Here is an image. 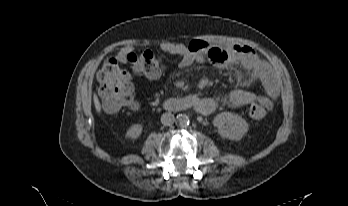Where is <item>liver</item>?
Segmentation results:
<instances>
[{
  "mask_svg": "<svg viewBox=\"0 0 348 206\" xmlns=\"http://www.w3.org/2000/svg\"><path fill=\"white\" fill-rule=\"evenodd\" d=\"M93 100H94L96 111L98 113H100L101 112V104H100L99 99H98L96 94H94Z\"/></svg>",
  "mask_w": 348,
  "mask_h": 206,
  "instance_id": "liver-1",
  "label": "liver"
}]
</instances>
